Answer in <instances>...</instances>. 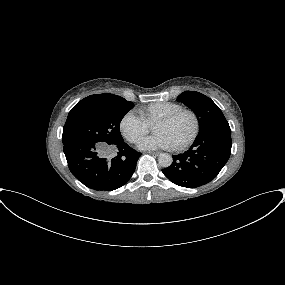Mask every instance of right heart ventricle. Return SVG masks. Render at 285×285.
Here are the masks:
<instances>
[{"label":"right heart ventricle","instance_id":"obj_1","mask_svg":"<svg viewBox=\"0 0 285 285\" xmlns=\"http://www.w3.org/2000/svg\"><path fill=\"white\" fill-rule=\"evenodd\" d=\"M180 109H183L182 105L175 102H156L141 109L140 114L150 125H153L159 118Z\"/></svg>","mask_w":285,"mask_h":285}]
</instances>
